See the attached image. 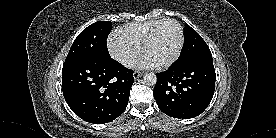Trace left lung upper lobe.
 Segmentation results:
<instances>
[{
    "label": "left lung upper lobe",
    "instance_id": "5c2ea615",
    "mask_svg": "<svg viewBox=\"0 0 276 138\" xmlns=\"http://www.w3.org/2000/svg\"><path fill=\"white\" fill-rule=\"evenodd\" d=\"M203 55H211L209 47L202 37L187 24L184 29L182 52L173 65H181Z\"/></svg>",
    "mask_w": 276,
    "mask_h": 138
}]
</instances>
